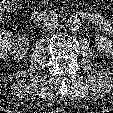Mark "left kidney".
<instances>
[{
    "mask_svg": "<svg viewBox=\"0 0 113 113\" xmlns=\"http://www.w3.org/2000/svg\"><path fill=\"white\" fill-rule=\"evenodd\" d=\"M99 53L113 56V42L106 36L98 35L95 39Z\"/></svg>",
    "mask_w": 113,
    "mask_h": 113,
    "instance_id": "left-kidney-1",
    "label": "left kidney"
}]
</instances>
